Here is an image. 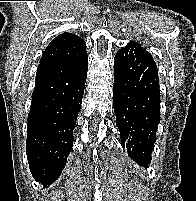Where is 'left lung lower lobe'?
I'll return each mask as SVG.
<instances>
[{"label": "left lung lower lobe", "mask_w": 196, "mask_h": 201, "mask_svg": "<svg viewBox=\"0 0 196 201\" xmlns=\"http://www.w3.org/2000/svg\"><path fill=\"white\" fill-rule=\"evenodd\" d=\"M113 100L123 147L136 163L147 166L160 121L159 79L150 53L134 43L115 56Z\"/></svg>", "instance_id": "1"}]
</instances>
